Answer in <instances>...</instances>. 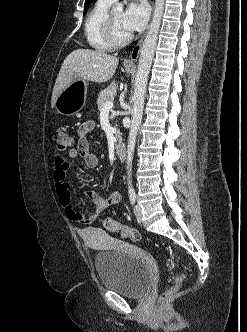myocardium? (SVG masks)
Returning a JSON list of instances; mask_svg holds the SVG:
<instances>
[{
    "mask_svg": "<svg viewBox=\"0 0 247 332\" xmlns=\"http://www.w3.org/2000/svg\"><path fill=\"white\" fill-rule=\"evenodd\" d=\"M102 34L105 39V41L108 43V45L112 48H120L125 45H127L131 39L132 36L129 34L123 38H119L116 36L112 21V14L108 12L106 15L103 25H102Z\"/></svg>",
    "mask_w": 247,
    "mask_h": 332,
    "instance_id": "obj_1",
    "label": "myocardium"
}]
</instances>
